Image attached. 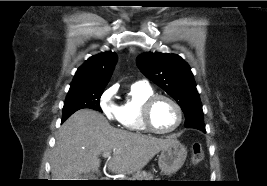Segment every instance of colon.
Instances as JSON below:
<instances>
[{
    "instance_id": "colon-1",
    "label": "colon",
    "mask_w": 267,
    "mask_h": 186,
    "mask_svg": "<svg viewBox=\"0 0 267 186\" xmlns=\"http://www.w3.org/2000/svg\"><path fill=\"white\" fill-rule=\"evenodd\" d=\"M204 151L200 143L195 142L191 146V163L197 165L203 160Z\"/></svg>"
}]
</instances>
